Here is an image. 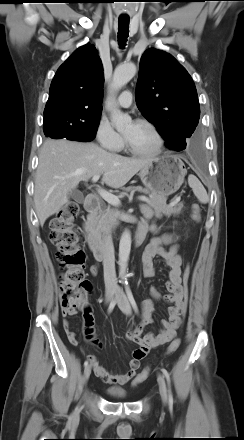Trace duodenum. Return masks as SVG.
I'll return each instance as SVG.
<instances>
[{"label":"duodenum","instance_id":"1","mask_svg":"<svg viewBox=\"0 0 244 440\" xmlns=\"http://www.w3.org/2000/svg\"><path fill=\"white\" fill-rule=\"evenodd\" d=\"M84 207L88 212V216L82 223V230L93 256L96 260L102 261L106 256V251L104 245L98 240L92 231V215L99 209L100 199L95 195H89L85 199ZM147 230L148 228L139 225L134 237V242L136 245H140L144 241Z\"/></svg>","mask_w":244,"mask_h":440}]
</instances>
